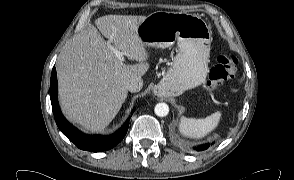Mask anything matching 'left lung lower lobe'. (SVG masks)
I'll return each mask as SVG.
<instances>
[{
	"label": "left lung lower lobe",
	"instance_id": "1",
	"mask_svg": "<svg viewBox=\"0 0 294 180\" xmlns=\"http://www.w3.org/2000/svg\"><path fill=\"white\" fill-rule=\"evenodd\" d=\"M209 146H210V144H204V145H201V146L195 147V149H196L197 151H202V150L207 149Z\"/></svg>",
	"mask_w": 294,
	"mask_h": 180
}]
</instances>
